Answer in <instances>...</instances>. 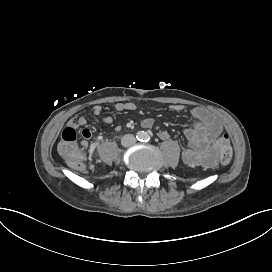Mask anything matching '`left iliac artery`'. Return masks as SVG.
Instances as JSON below:
<instances>
[{"label":"left iliac artery","mask_w":272,"mask_h":272,"mask_svg":"<svg viewBox=\"0 0 272 272\" xmlns=\"http://www.w3.org/2000/svg\"><path fill=\"white\" fill-rule=\"evenodd\" d=\"M151 140V137L150 135H148L147 133L145 134V137H144V141L145 142H149Z\"/></svg>","instance_id":"left-iliac-artery-1"}]
</instances>
